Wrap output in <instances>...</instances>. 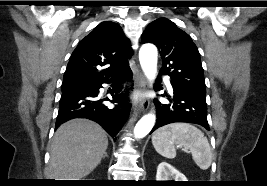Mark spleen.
Listing matches in <instances>:
<instances>
[{
    "label": "spleen",
    "instance_id": "1",
    "mask_svg": "<svg viewBox=\"0 0 267 186\" xmlns=\"http://www.w3.org/2000/svg\"><path fill=\"white\" fill-rule=\"evenodd\" d=\"M155 150L168 159L176 157L175 145L189 150L196 165L203 170L210 167L212 152L208 139L197 127L188 123H172L156 130L152 136Z\"/></svg>",
    "mask_w": 267,
    "mask_h": 186
}]
</instances>
